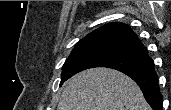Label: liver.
Returning <instances> with one entry per match:
<instances>
[{"instance_id":"obj_1","label":"liver","mask_w":171,"mask_h":110,"mask_svg":"<svg viewBox=\"0 0 171 110\" xmlns=\"http://www.w3.org/2000/svg\"><path fill=\"white\" fill-rule=\"evenodd\" d=\"M58 110H150L139 86L107 68L82 71L63 90Z\"/></svg>"}]
</instances>
